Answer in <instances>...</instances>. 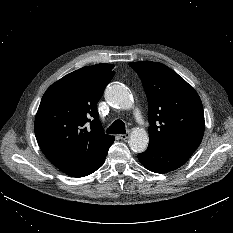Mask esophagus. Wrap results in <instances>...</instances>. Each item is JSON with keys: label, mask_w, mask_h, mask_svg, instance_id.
<instances>
[{"label": "esophagus", "mask_w": 233, "mask_h": 233, "mask_svg": "<svg viewBox=\"0 0 233 233\" xmlns=\"http://www.w3.org/2000/svg\"><path fill=\"white\" fill-rule=\"evenodd\" d=\"M119 137H120V139H122V140H126V139L129 138V132H128V133H125V134H120Z\"/></svg>", "instance_id": "1"}]
</instances>
